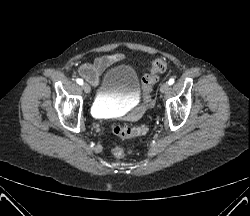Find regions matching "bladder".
Wrapping results in <instances>:
<instances>
[{
  "label": "bladder",
  "instance_id": "bladder-1",
  "mask_svg": "<svg viewBox=\"0 0 250 216\" xmlns=\"http://www.w3.org/2000/svg\"><path fill=\"white\" fill-rule=\"evenodd\" d=\"M140 92L136 70L127 64L108 69L100 82L93 103V112L98 116L107 115L134 103Z\"/></svg>",
  "mask_w": 250,
  "mask_h": 216
}]
</instances>
